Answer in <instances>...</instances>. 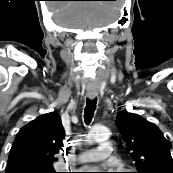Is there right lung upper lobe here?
Instances as JSON below:
<instances>
[{
  "mask_svg": "<svg viewBox=\"0 0 173 173\" xmlns=\"http://www.w3.org/2000/svg\"><path fill=\"white\" fill-rule=\"evenodd\" d=\"M61 117L43 114L20 129L9 152L6 173H31L54 169L55 154L63 147Z\"/></svg>",
  "mask_w": 173,
  "mask_h": 173,
  "instance_id": "1",
  "label": "right lung upper lobe"
}]
</instances>
